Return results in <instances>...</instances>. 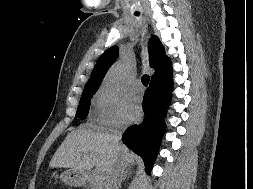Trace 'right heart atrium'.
<instances>
[{
  "mask_svg": "<svg viewBox=\"0 0 253 189\" xmlns=\"http://www.w3.org/2000/svg\"><path fill=\"white\" fill-rule=\"evenodd\" d=\"M97 122L108 128H119L125 123V102L122 96L105 87L101 88L94 98Z\"/></svg>",
  "mask_w": 253,
  "mask_h": 189,
  "instance_id": "right-heart-atrium-1",
  "label": "right heart atrium"
}]
</instances>
